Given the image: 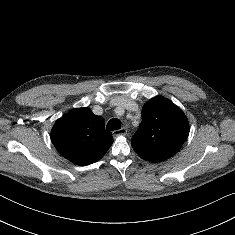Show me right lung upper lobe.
<instances>
[{
	"instance_id": "obj_1",
	"label": "right lung upper lobe",
	"mask_w": 235,
	"mask_h": 235,
	"mask_svg": "<svg viewBox=\"0 0 235 235\" xmlns=\"http://www.w3.org/2000/svg\"><path fill=\"white\" fill-rule=\"evenodd\" d=\"M51 140L64 158L77 165L100 160L113 142L103 118L89 108H76L59 118L51 130Z\"/></svg>"
}]
</instances>
